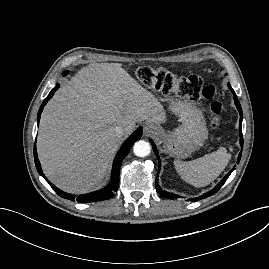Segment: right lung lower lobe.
<instances>
[{"mask_svg": "<svg viewBox=\"0 0 269 269\" xmlns=\"http://www.w3.org/2000/svg\"><path fill=\"white\" fill-rule=\"evenodd\" d=\"M58 88H59V85H56L51 90V92L46 97V99L43 101L42 105L40 106V109H39L38 115H37L38 125H39L40 116H41V113L43 111L44 106L52 98V96L54 95L55 91H57ZM141 136H142V128L140 127L121 146V148L118 151V153L114 159V162H113L111 182L108 186H106L105 188H103L99 191H94V192H91L88 194L76 196V195L68 194V193L63 192L60 189H58L56 186H54L52 183H50L47 180V178L45 177V175L43 174L41 166H40V162L38 160L36 146H34L35 165H36V168H37V171L39 172V174L50 184V186L56 191V193L59 196L66 198L68 200L77 201L79 203H90V202L103 201V200L110 199L111 197H113L114 193L117 191V189L119 187V170H120L121 163H122L123 159L126 157V155L128 154V152L130 151V148L132 147L134 142L139 140L141 138Z\"/></svg>", "mask_w": 269, "mask_h": 269, "instance_id": "right-lung-lower-lobe-1", "label": "right lung lower lobe"}]
</instances>
